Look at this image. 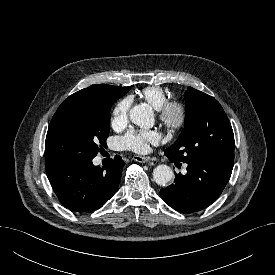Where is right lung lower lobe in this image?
Masks as SVG:
<instances>
[{
    "mask_svg": "<svg viewBox=\"0 0 275 275\" xmlns=\"http://www.w3.org/2000/svg\"><path fill=\"white\" fill-rule=\"evenodd\" d=\"M46 174L60 202L74 212L101 208L116 192L125 165L116 156L103 171L92 159L59 158L45 161Z\"/></svg>",
    "mask_w": 275,
    "mask_h": 275,
    "instance_id": "98d812e1",
    "label": "right lung lower lobe"
}]
</instances>
